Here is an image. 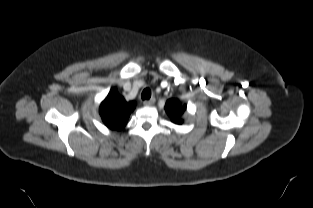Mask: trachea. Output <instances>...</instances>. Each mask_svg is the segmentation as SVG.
<instances>
[{
    "mask_svg": "<svg viewBox=\"0 0 313 208\" xmlns=\"http://www.w3.org/2000/svg\"><path fill=\"white\" fill-rule=\"evenodd\" d=\"M151 97V90L149 88H145L141 94V98L143 100H148Z\"/></svg>",
    "mask_w": 313,
    "mask_h": 208,
    "instance_id": "trachea-1",
    "label": "trachea"
}]
</instances>
